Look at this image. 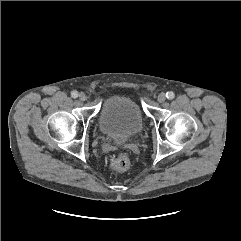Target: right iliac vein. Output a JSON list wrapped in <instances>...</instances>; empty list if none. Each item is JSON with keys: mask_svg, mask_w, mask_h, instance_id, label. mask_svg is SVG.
I'll list each match as a JSON object with an SVG mask.
<instances>
[{"mask_svg": "<svg viewBox=\"0 0 241 241\" xmlns=\"http://www.w3.org/2000/svg\"><path fill=\"white\" fill-rule=\"evenodd\" d=\"M78 97H79V100L80 101H86L87 100V96H86V94L85 93H80L79 95H78Z\"/></svg>", "mask_w": 241, "mask_h": 241, "instance_id": "obj_1", "label": "right iliac vein"}]
</instances>
